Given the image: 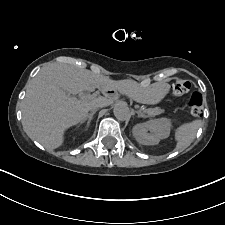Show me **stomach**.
Here are the masks:
<instances>
[{"label": "stomach", "instance_id": "0dacf381", "mask_svg": "<svg viewBox=\"0 0 225 225\" xmlns=\"http://www.w3.org/2000/svg\"><path fill=\"white\" fill-rule=\"evenodd\" d=\"M168 90V86L164 84L162 87L149 92L148 94L145 95V102L147 104H156L158 103L166 94Z\"/></svg>", "mask_w": 225, "mask_h": 225}]
</instances>
